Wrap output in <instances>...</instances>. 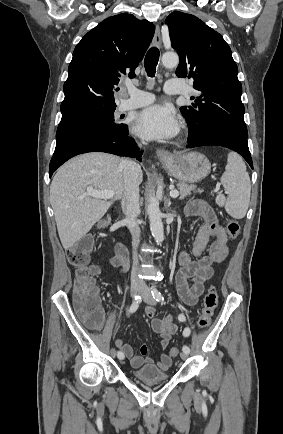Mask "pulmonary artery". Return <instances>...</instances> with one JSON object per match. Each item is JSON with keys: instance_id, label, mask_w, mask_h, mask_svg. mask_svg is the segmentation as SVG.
Returning a JSON list of instances; mask_svg holds the SVG:
<instances>
[{"instance_id": "obj_1", "label": "pulmonary artery", "mask_w": 283, "mask_h": 434, "mask_svg": "<svg viewBox=\"0 0 283 434\" xmlns=\"http://www.w3.org/2000/svg\"><path fill=\"white\" fill-rule=\"evenodd\" d=\"M164 90L167 94H189L191 92V88L179 80H168ZM124 91L126 97L121 100L118 106L120 111L140 108L154 101V96L151 93L139 90L130 83L126 84Z\"/></svg>"}]
</instances>
